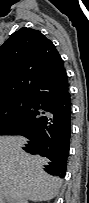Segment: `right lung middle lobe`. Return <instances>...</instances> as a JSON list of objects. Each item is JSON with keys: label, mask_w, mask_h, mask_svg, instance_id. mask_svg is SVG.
<instances>
[{"label": "right lung middle lobe", "mask_w": 89, "mask_h": 203, "mask_svg": "<svg viewBox=\"0 0 89 203\" xmlns=\"http://www.w3.org/2000/svg\"><path fill=\"white\" fill-rule=\"evenodd\" d=\"M28 109L27 96L0 104V135L8 134Z\"/></svg>", "instance_id": "1"}]
</instances>
